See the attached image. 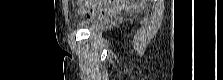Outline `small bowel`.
Here are the masks:
<instances>
[{"label": "small bowel", "instance_id": "small-bowel-1", "mask_svg": "<svg viewBox=\"0 0 223 80\" xmlns=\"http://www.w3.org/2000/svg\"><path fill=\"white\" fill-rule=\"evenodd\" d=\"M119 5L116 4L112 7V9L118 8ZM109 8L106 6L99 4V3H93V4H87L85 7L80 8V12L86 15L87 17L96 16L99 14L105 13Z\"/></svg>", "mask_w": 223, "mask_h": 80}]
</instances>
